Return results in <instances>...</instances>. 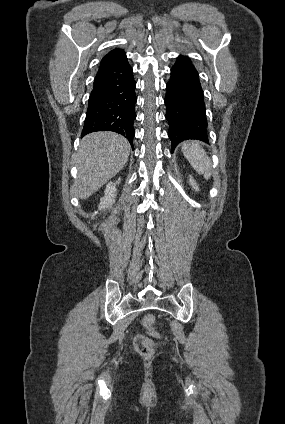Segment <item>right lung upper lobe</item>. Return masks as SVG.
I'll return each instance as SVG.
<instances>
[{"label": "right lung upper lobe", "instance_id": "1", "mask_svg": "<svg viewBox=\"0 0 285 424\" xmlns=\"http://www.w3.org/2000/svg\"><path fill=\"white\" fill-rule=\"evenodd\" d=\"M126 57L125 52L122 49H114L106 54L100 62V65L114 62Z\"/></svg>", "mask_w": 285, "mask_h": 424}]
</instances>
